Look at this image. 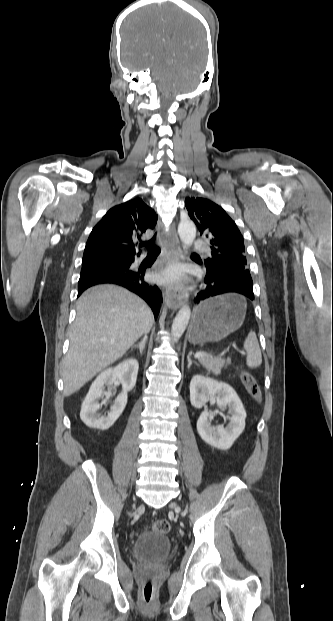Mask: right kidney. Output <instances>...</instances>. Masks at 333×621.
<instances>
[{
    "mask_svg": "<svg viewBox=\"0 0 333 621\" xmlns=\"http://www.w3.org/2000/svg\"><path fill=\"white\" fill-rule=\"evenodd\" d=\"M138 369V361L129 358L97 376L81 405L80 418L88 427L107 430L115 423L126 406L127 392L135 386ZM116 379L122 384V392L117 396L110 412L107 415H100L97 413L100 408L98 399L109 392ZM105 386L108 387V391L105 390Z\"/></svg>",
    "mask_w": 333,
    "mask_h": 621,
    "instance_id": "obj_1",
    "label": "right kidney"
}]
</instances>
